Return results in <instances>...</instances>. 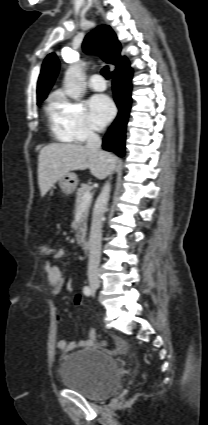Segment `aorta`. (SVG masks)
Masks as SVG:
<instances>
[{
  "mask_svg": "<svg viewBox=\"0 0 208 425\" xmlns=\"http://www.w3.org/2000/svg\"><path fill=\"white\" fill-rule=\"evenodd\" d=\"M82 63L70 65L64 77L65 93L73 98L78 99L82 91Z\"/></svg>",
  "mask_w": 208,
  "mask_h": 425,
  "instance_id": "1",
  "label": "aorta"
}]
</instances>
